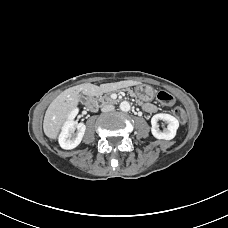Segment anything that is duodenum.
<instances>
[{"label":"duodenum","instance_id":"duodenum-1","mask_svg":"<svg viewBox=\"0 0 228 228\" xmlns=\"http://www.w3.org/2000/svg\"><path fill=\"white\" fill-rule=\"evenodd\" d=\"M86 104L91 110H96L98 107L97 101L93 97H89L86 101Z\"/></svg>","mask_w":228,"mask_h":228}]
</instances>
